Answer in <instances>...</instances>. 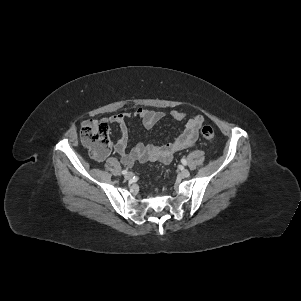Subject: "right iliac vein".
I'll return each instance as SVG.
<instances>
[{
  "instance_id": "63e3f726",
  "label": "right iliac vein",
  "mask_w": 301,
  "mask_h": 301,
  "mask_svg": "<svg viewBox=\"0 0 301 301\" xmlns=\"http://www.w3.org/2000/svg\"><path fill=\"white\" fill-rule=\"evenodd\" d=\"M132 177H133V174L131 172H128L127 174H125L126 180H130Z\"/></svg>"
}]
</instances>
